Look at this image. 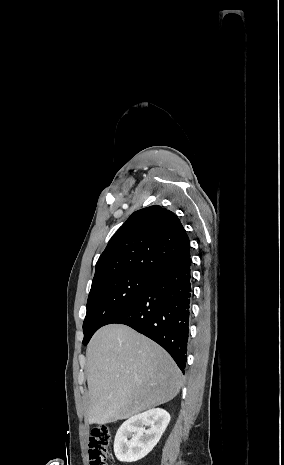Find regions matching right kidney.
I'll return each instance as SVG.
<instances>
[{"label": "right kidney", "mask_w": 284, "mask_h": 465, "mask_svg": "<svg viewBox=\"0 0 284 465\" xmlns=\"http://www.w3.org/2000/svg\"><path fill=\"white\" fill-rule=\"evenodd\" d=\"M169 421L170 415L164 409H150L125 421L119 427L114 441V453L118 461L134 463L146 457L161 439Z\"/></svg>", "instance_id": "right-kidney-1"}]
</instances>
